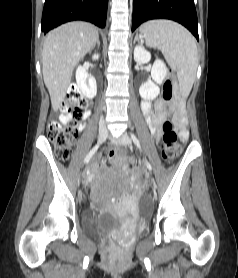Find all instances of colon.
<instances>
[{
	"label": "colon",
	"mask_w": 238,
	"mask_h": 278,
	"mask_svg": "<svg viewBox=\"0 0 238 278\" xmlns=\"http://www.w3.org/2000/svg\"><path fill=\"white\" fill-rule=\"evenodd\" d=\"M173 78L174 75L170 72L169 77L163 83V98L167 102L174 97ZM167 108L169 109V106ZM87 109V100L77 87H72L62 104V110L65 114L72 116L74 121L66 125L53 122L48 128V138L54 145L56 155L60 160H67L71 156L72 146L78 136L77 120L83 117ZM163 132L161 154L165 161H172L181 152L180 140L172 124L168 121L163 124ZM109 157L116 166L124 167L128 164V160L115 151H110Z\"/></svg>",
	"instance_id": "obj_1"
}]
</instances>
